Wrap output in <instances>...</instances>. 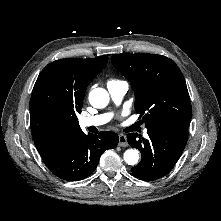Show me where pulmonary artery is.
I'll return each mask as SVG.
<instances>
[{
	"mask_svg": "<svg viewBox=\"0 0 221 221\" xmlns=\"http://www.w3.org/2000/svg\"><path fill=\"white\" fill-rule=\"evenodd\" d=\"M107 89L114 103L119 104L128 90V84L125 81L108 82ZM110 118L111 114L109 113L91 117H83L80 119V125L82 127H97L107 123L110 120ZM144 136L148 137L146 131L144 132Z\"/></svg>",
	"mask_w": 221,
	"mask_h": 221,
	"instance_id": "1",
	"label": "pulmonary artery"
}]
</instances>
